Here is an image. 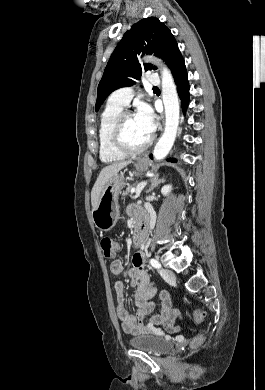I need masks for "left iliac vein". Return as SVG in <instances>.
<instances>
[{"label": "left iliac vein", "instance_id": "obj_1", "mask_svg": "<svg viewBox=\"0 0 265 390\" xmlns=\"http://www.w3.org/2000/svg\"><path fill=\"white\" fill-rule=\"evenodd\" d=\"M161 277L168 283H174L176 280L175 274L172 270L169 269H159L158 270Z\"/></svg>", "mask_w": 265, "mask_h": 390}]
</instances>
